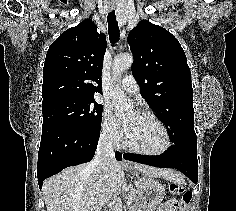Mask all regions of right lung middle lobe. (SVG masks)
<instances>
[{
  "mask_svg": "<svg viewBox=\"0 0 236 211\" xmlns=\"http://www.w3.org/2000/svg\"><path fill=\"white\" fill-rule=\"evenodd\" d=\"M103 106L95 99L60 98L42 104L43 126L58 124L100 132Z\"/></svg>",
  "mask_w": 236,
  "mask_h": 211,
  "instance_id": "dd1d6c3e",
  "label": "right lung middle lobe"
}]
</instances>
